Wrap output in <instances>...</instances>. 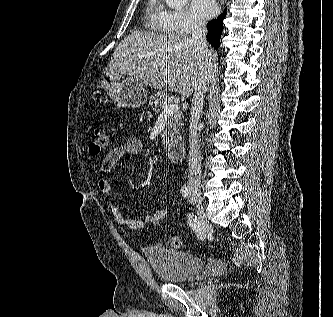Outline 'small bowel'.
Masks as SVG:
<instances>
[{"label": "small bowel", "instance_id": "1", "mask_svg": "<svg viewBox=\"0 0 333 317\" xmlns=\"http://www.w3.org/2000/svg\"><path fill=\"white\" fill-rule=\"evenodd\" d=\"M142 151L143 143L136 137H130L122 145L116 146L110 150L101 161L97 182L98 189L101 192L105 202L107 203L115 222L124 228L134 231L140 230L146 224L151 223L153 214H146L140 219L126 217L121 212L119 206L114 200L112 188L107 176L112 171V169L125 157L139 155L142 153Z\"/></svg>", "mask_w": 333, "mask_h": 317}]
</instances>
